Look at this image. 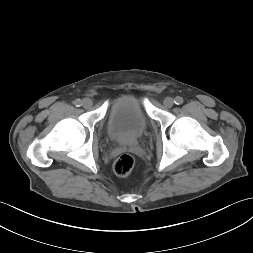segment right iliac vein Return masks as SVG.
Returning a JSON list of instances; mask_svg holds the SVG:
<instances>
[{
  "label": "right iliac vein",
  "mask_w": 253,
  "mask_h": 253,
  "mask_svg": "<svg viewBox=\"0 0 253 253\" xmlns=\"http://www.w3.org/2000/svg\"><path fill=\"white\" fill-rule=\"evenodd\" d=\"M92 100L89 98H84L82 101V105L84 108H90L92 106Z\"/></svg>",
  "instance_id": "1"
}]
</instances>
